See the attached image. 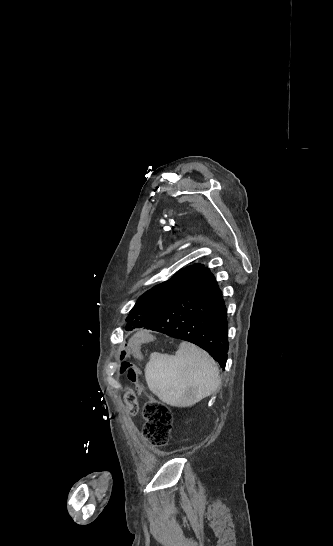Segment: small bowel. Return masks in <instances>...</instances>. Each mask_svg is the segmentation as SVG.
<instances>
[{"mask_svg": "<svg viewBox=\"0 0 333 546\" xmlns=\"http://www.w3.org/2000/svg\"><path fill=\"white\" fill-rule=\"evenodd\" d=\"M155 339V334L153 332H137L136 336L134 337L132 348H131V358L133 361H142L144 358V353L142 351V347L144 344L146 346H150L152 343L150 341H153ZM130 411V416H135V414L139 413V408L137 403H131L127 406Z\"/></svg>", "mask_w": 333, "mask_h": 546, "instance_id": "small-bowel-1", "label": "small bowel"}]
</instances>
